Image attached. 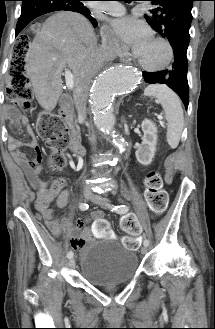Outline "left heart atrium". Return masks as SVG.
Instances as JSON below:
<instances>
[{
    "instance_id": "left-heart-atrium-1",
    "label": "left heart atrium",
    "mask_w": 215,
    "mask_h": 329,
    "mask_svg": "<svg viewBox=\"0 0 215 329\" xmlns=\"http://www.w3.org/2000/svg\"><path fill=\"white\" fill-rule=\"evenodd\" d=\"M112 26L117 37L132 48L135 54L144 49L152 40L148 25L134 17L115 19L112 21Z\"/></svg>"
}]
</instances>
